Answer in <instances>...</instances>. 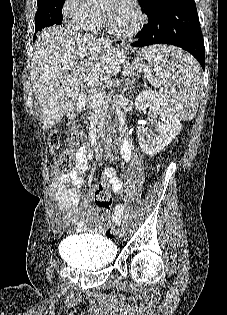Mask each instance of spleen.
I'll return each instance as SVG.
<instances>
[{
    "mask_svg": "<svg viewBox=\"0 0 227 315\" xmlns=\"http://www.w3.org/2000/svg\"><path fill=\"white\" fill-rule=\"evenodd\" d=\"M143 56L154 65L163 87L159 95L181 120L193 119L202 93L201 68L194 59L167 46L144 49Z\"/></svg>",
    "mask_w": 227,
    "mask_h": 315,
    "instance_id": "3e777b00",
    "label": "spleen"
}]
</instances>
